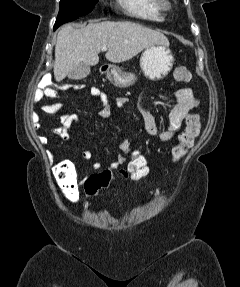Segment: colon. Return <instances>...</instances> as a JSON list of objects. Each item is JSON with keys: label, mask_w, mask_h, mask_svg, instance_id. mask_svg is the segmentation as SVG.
<instances>
[{"label": "colon", "mask_w": 240, "mask_h": 287, "mask_svg": "<svg viewBox=\"0 0 240 287\" xmlns=\"http://www.w3.org/2000/svg\"><path fill=\"white\" fill-rule=\"evenodd\" d=\"M174 78L181 83H189L192 80L190 70L185 66H178L174 70ZM75 89H83L84 85H75ZM185 128L179 133L177 144L172 149L173 162L180 161L194 144L199 134L200 123L196 115L190 114L186 119ZM150 174V165L147 157L140 149L131 148L125 165V177L132 181H141ZM54 176L66 193L76 187V179L73 165L68 161L58 163L54 169ZM118 180L107 171L94 173L86 178L82 185L88 199H94L101 189L115 186Z\"/></svg>", "instance_id": "1"}]
</instances>
